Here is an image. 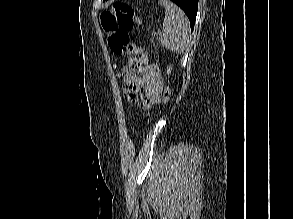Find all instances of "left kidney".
<instances>
[{"label": "left kidney", "mask_w": 293, "mask_h": 219, "mask_svg": "<svg viewBox=\"0 0 293 219\" xmlns=\"http://www.w3.org/2000/svg\"><path fill=\"white\" fill-rule=\"evenodd\" d=\"M171 71H172V66H171V65H169V67H167V74H170V73H171Z\"/></svg>", "instance_id": "left-kidney-1"}]
</instances>
